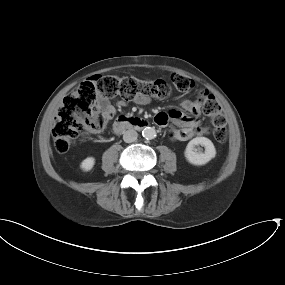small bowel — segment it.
<instances>
[{
	"instance_id": "c3829d8e",
	"label": "small bowel",
	"mask_w": 285,
	"mask_h": 285,
	"mask_svg": "<svg viewBox=\"0 0 285 285\" xmlns=\"http://www.w3.org/2000/svg\"><path fill=\"white\" fill-rule=\"evenodd\" d=\"M136 102L140 104H146L149 102V99L146 97H139L136 99ZM117 105L119 107H123L126 105L124 100H120ZM180 106L190 114L192 117L183 116L178 110L171 109L166 113L168 116V120H171L175 123L179 128H172L170 130V135L180 141H186L194 136H198L203 134L204 132L199 128V119L198 116L200 114V105L191 100H182L180 102ZM96 108L101 113V116L104 120H111L115 113V107L110 103L107 97L98 95L96 98Z\"/></svg>"
}]
</instances>
